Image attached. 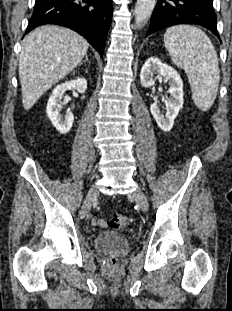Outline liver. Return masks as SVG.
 Segmentation results:
<instances>
[{"mask_svg": "<svg viewBox=\"0 0 232 311\" xmlns=\"http://www.w3.org/2000/svg\"><path fill=\"white\" fill-rule=\"evenodd\" d=\"M88 47V42L76 32L54 25L39 27L28 34L19 57L24 109H31L52 85L75 69Z\"/></svg>", "mask_w": 232, "mask_h": 311, "instance_id": "obj_1", "label": "liver"}]
</instances>
